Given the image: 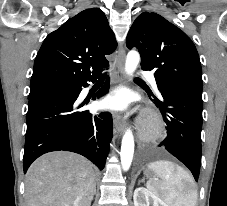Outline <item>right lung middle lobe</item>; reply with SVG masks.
I'll use <instances>...</instances> for the list:
<instances>
[{"label":"right lung middle lobe","mask_w":227,"mask_h":206,"mask_svg":"<svg viewBox=\"0 0 227 206\" xmlns=\"http://www.w3.org/2000/svg\"><path fill=\"white\" fill-rule=\"evenodd\" d=\"M74 89L73 83L59 80H45L30 85L28 99L46 94H65Z\"/></svg>","instance_id":"dd1d6c3e"}]
</instances>
